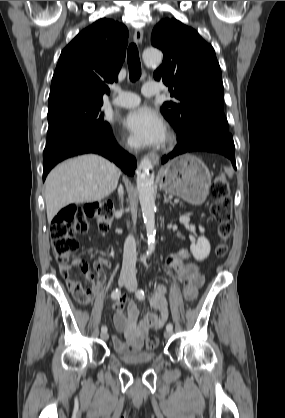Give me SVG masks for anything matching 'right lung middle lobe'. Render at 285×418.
I'll return each mask as SVG.
<instances>
[{
    "label": "right lung middle lobe",
    "instance_id": "right-lung-middle-lobe-1",
    "mask_svg": "<svg viewBox=\"0 0 285 418\" xmlns=\"http://www.w3.org/2000/svg\"><path fill=\"white\" fill-rule=\"evenodd\" d=\"M101 101L69 100L48 105L47 144L74 132H106L111 130L104 121Z\"/></svg>",
    "mask_w": 285,
    "mask_h": 418
}]
</instances>
